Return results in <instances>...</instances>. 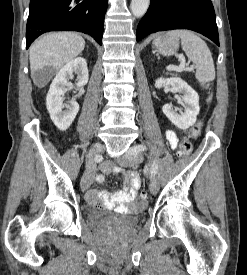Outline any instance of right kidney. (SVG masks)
<instances>
[{
	"mask_svg": "<svg viewBox=\"0 0 247 275\" xmlns=\"http://www.w3.org/2000/svg\"><path fill=\"white\" fill-rule=\"evenodd\" d=\"M73 73L77 75L75 83L77 88H81L88 83L89 73L84 58H75L58 71L46 97V106L51 120L62 131L70 127L79 111V105L76 101L63 104V94L67 87L71 85L69 79L74 77ZM64 108L66 110L63 111Z\"/></svg>",
	"mask_w": 247,
	"mask_h": 275,
	"instance_id": "right-kidney-1",
	"label": "right kidney"
}]
</instances>
